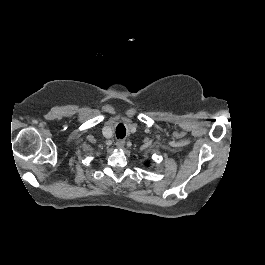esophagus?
<instances>
[{"instance_id": "esophagus-1", "label": "esophagus", "mask_w": 265, "mask_h": 265, "mask_svg": "<svg viewBox=\"0 0 265 265\" xmlns=\"http://www.w3.org/2000/svg\"><path fill=\"white\" fill-rule=\"evenodd\" d=\"M124 145H125V141L122 140V139H119V140L116 142V146H117L118 149L123 148Z\"/></svg>"}]
</instances>
